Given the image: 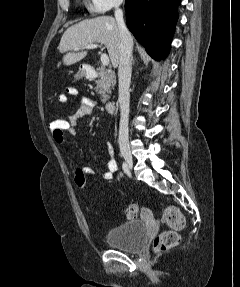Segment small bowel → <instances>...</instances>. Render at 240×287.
<instances>
[{"mask_svg":"<svg viewBox=\"0 0 240 287\" xmlns=\"http://www.w3.org/2000/svg\"><path fill=\"white\" fill-rule=\"evenodd\" d=\"M68 96L75 97V98L79 99L78 109L67 118L68 123H69V128L66 131L65 136L66 135L73 136L76 134L77 125H78L79 120L82 119L83 117L90 115L93 112V110L95 109L97 103L93 98L80 95L78 90L74 87H71V86H68L66 88V94H59L57 96V101L60 104H66L68 101ZM65 136L62 139L54 138V140L58 144H64ZM106 153H107L106 170L103 172L102 178L104 180H111L113 175L117 171V162H116L115 157H114V148L110 143H107V145H106ZM77 170H79L82 173L87 174V175H93L94 174V170L90 167H87V166L78 167ZM141 216L144 219H150V218H152V212L148 208H143L141 210Z\"/></svg>","mask_w":240,"mask_h":287,"instance_id":"small-bowel-1","label":"small bowel"}]
</instances>
